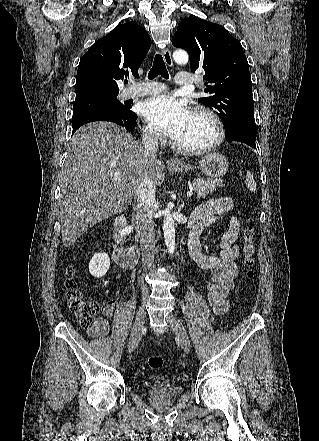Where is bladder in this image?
<instances>
[{
	"mask_svg": "<svg viewBox=\"0 0 319 441\" xmlns=\"http://www.w3.org/2000/svg\"><path fill=\"white\" fill-rule=\"evenodd\" d=\"M142 387L149 393H155L156 389V381L154 378H148L143 380Z\"/></svg>",
	"mask_w": 319,
	"mask_h": 441,
	"instance_id": "bladder-1",
	"label": "bladder"
}]
</instances>
